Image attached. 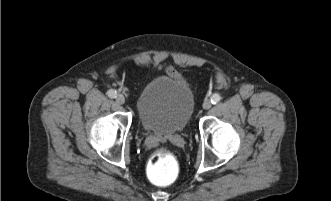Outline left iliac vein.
<instances>
[{
	"label": "left iliac vein",
	"instance_id": "obj_1",
	"mask_svg": "<svg viewBox=\"0 0 331 201\" xmlns=\"http://www.w3.org/2000/svg\"><path fill=\"white\" fill-rule=\"evenodd\" d=\"M211 106H212V104H211V101L210 100H205L204 102H203V108L204 109H210L211 108Z\"/></svg>",
	"mask_w": 331,
	"mask_h": 201
}]
</instances>
